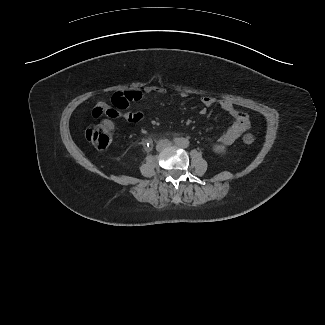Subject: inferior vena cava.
<instances>
[{
	"label": "inferior vena cava",
	"instance_id": "1",
	"mask_svg": "<svg viewBox=\"0 0 325 325\" xmlns=\"http://www.w3.org/2000/svg\"><path fill=\"white\" fill-rule=\"evenodd\" d=\"M171 145V142L169 140H160L158 143H157V146H156V149L157 151H162L164 150L165 148L169 147Z\"/></svg>",
	"mask_w": 325,
	"mask_h": 325
}]
</instances>
